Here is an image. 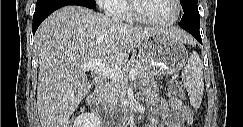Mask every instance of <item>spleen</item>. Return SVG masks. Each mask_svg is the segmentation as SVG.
Here are the masks:
<instances>
[{"instance_id":"1","label":"spleen","mask_w":243,"mask_h":127,"mask_svg":"<svg viewBox=\"0 0 243 127\" xmlns=\"http://www.w3.org/2000/svg\"><path fill=\"white\" fill-rule=\"evenodd\" d=\"M182 80L188 92L190 104L195 108L200 107L204 93V78L202 62L196 52L189 57L182 73Z\"/></svg>"}]
</instances>
